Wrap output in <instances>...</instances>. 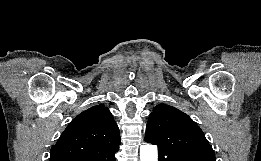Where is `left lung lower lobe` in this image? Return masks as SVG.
Wrapping results in <instances>:
<instances>
[{
  "instance_id": "0a47b994",
  "label": "left lung lower lobe",
  "mask_w": 261,
  "mask_h": 161,
  "mask_svg": "<svg viewBox=\"0 0 261 161\" xmlns=\"http://www.w3.org/2000/svg\"><path fill=\"white\" fill-rule=\"evenodd\" d=\"M159 148V161H213L212 159L177 148Z\"/></svg>"
}]
</instances>
